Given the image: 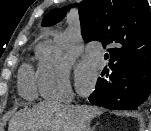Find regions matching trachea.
I'll return each instance as SVG.
<instances>
[{"label": "trachea", "instance_id": "1", "mask_svg": "<svg viewBox=\"0 0 151 131\" xmlns=\"http://www.w3.org/2000/svg\"><path fill=\"white\" fill-rule=\"evenodd\" d=\"M109 58V55L108 53L105 54V59H108Z\"/></svg>", "mask_w": 151, "mask_h": 131}]
</instances>
